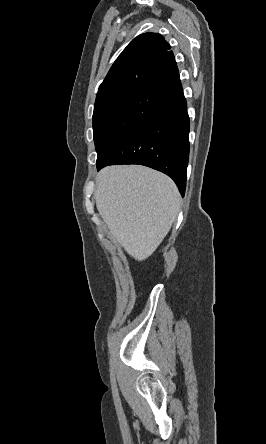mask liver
<instances>
[{
  "instance_id": "1",
  "label": "liver",
  "mask_w": 266,
  "mask_h": 444,
  "mask_svg": "<svg viewBox=\"0 0 266 444\" xmlns=\"http://www.w3.org/2000/svg\"><path fill=\"white\" fill-rule=\"evenodd\" d=\"M97 210L111 234L138 261L153 254L180 209L168 176L138 165L109 166L96 177Z\"/></svg>"
}]
</instances>
